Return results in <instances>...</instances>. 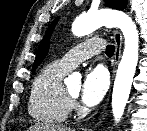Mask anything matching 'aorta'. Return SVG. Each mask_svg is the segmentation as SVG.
Here are the masks:
<instances>
[{
  "label": "aorta",
  "instance_id": "aorta-1",
  "mask_svg": "<svg viewBox=\"0 0 147 131\" xmlns=\"http://www.w3.org/2000/svg\"><path fill=\"white\" fill-rule=\"evenodd\" d=\"M101 26L119 28L125 40L124 52L118 66L112 93V112L118 122L122 118L128 102L138 63V30L127 14L121 11L103 9L77 17L73 22L72 32L75 36L81 37L90 34ZM72 80L79 82L81 74L78 72L73 73L66 79V83L69 84Z\"/></svg>",
  "mask_w": 147,
  "mask_h": 131
}]
</instances>
